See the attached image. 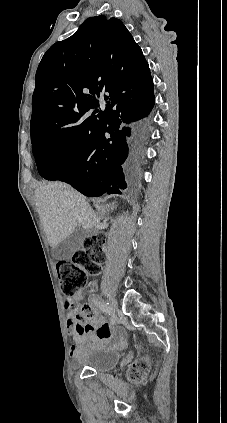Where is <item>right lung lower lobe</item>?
I'll return each mask as SVG.
<instances>
[{
  "label": "right lung lower lobe",
  "mask_w": 227,
  "mask_h": 423,
  "mask_svg": "<svg viewBox=\"0 0 227 423\" xmlns=\"http://www.w3.org/2000/svg\"><path fill=\"white\" fill-rule=\"evenodd\" d=\"M153 90L142 96H127L112 104L95 143L75 171L61 181L88 197L120 193L126 188L123 168L138 162L143 152L145 130L140 119L154 106ZM105 132L110 135L105 136Z\"/></svg>",
  "instance_id": "obj_1"
}]
</instances>
